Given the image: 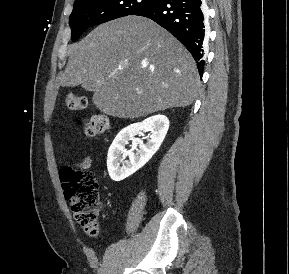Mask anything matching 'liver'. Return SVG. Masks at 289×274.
I'll use <instances>...</instances> for the list:
<instances>
[{"label":"liver","mask_w":289,"mask_h":274,"mask_svg":"<svg viewBox=\"0 0 289 274\" xmlns=\"http://www.w3.org/2000/svg\"><path fill=\"white\" fill-rule=\"evenodd\" d=\"M63 87L93 83L92 101L106 115L139 118L195 100L193 57L150 19L127 16L99 25L69 48Z\"/></svg>","instance_id":"liver-1"}]
</instances>
